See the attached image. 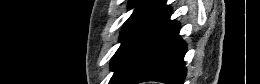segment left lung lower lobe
<instances>
[{
    "label": "left lung lower lobe",
    "instance_id": "obj_1",
    "mask_svg": "<svg viewBox=\"0 0 260 84\" xmlns=\"http://www.w3.org/2000/svg\"><path fill=\"white\" fill-rule=\"evenodd\" d=\"M170 15L171 8L162 0L117 56L109 84H183L186 45L178 35L179 23L170 21Z\"/></svg>",
    "mask_w": 260,
    "mask_h": 84
}]
</instances>
